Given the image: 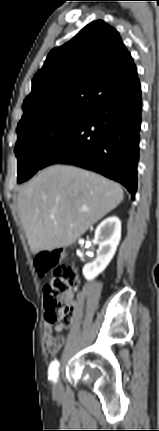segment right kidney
I'll list each match as a JSON object with an SVG mask.
<instances>
[{"mask_svg":"<svg viewBox=\"0 0 159 431\" xmlns=\"http://www.w3.org/2000/svg\"><path fill=\"white\" fill-rule=\"evenodd\" d=\"M121 238V221L112 216L99 224L95 239L99 242L97 258L83 267V275L91 281L102 273L112 260Z\"/></svg>","mask_w":159,"mask_h":431,"instance_id":"ca27d5eb","label":"right kidney"}]
</instances>
